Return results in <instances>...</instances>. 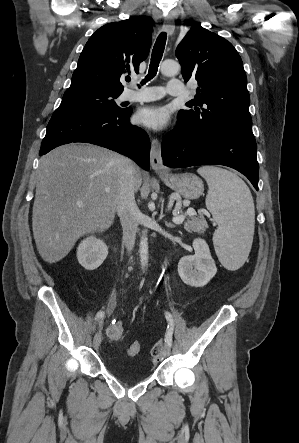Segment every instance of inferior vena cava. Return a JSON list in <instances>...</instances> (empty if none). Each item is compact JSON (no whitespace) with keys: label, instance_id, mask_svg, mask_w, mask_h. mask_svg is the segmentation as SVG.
Here are the masks:
<instances>
[{"label":"inferior vena cava","instance_id":"inferior-vena-cava-1","mask_svg":"<svg viewBox=\"0 0 299 443\" xmlns=\"http://www.w3.org/2000/svg\"><path fill=\"white\" fill-rule=\"evenodd\" d=\"M135 174V165L129 162L122 170L116 199V210L122 225L123 241L128 252L134 248L138 228L139 209L134 198V193L137 190Z\"/></svg>","mask_w":299,"mask_h":443}]
</instances>
